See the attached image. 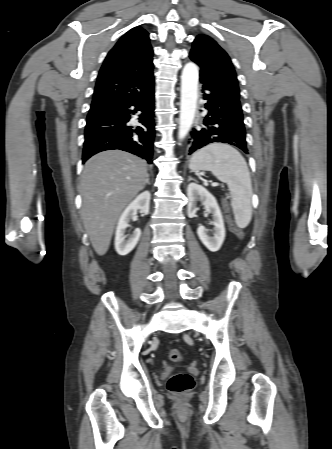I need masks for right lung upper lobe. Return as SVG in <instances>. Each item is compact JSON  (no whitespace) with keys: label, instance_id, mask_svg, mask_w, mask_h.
Segmentation results:
<instances>
[{"label":"right lung upper lobe","instance_id":"1","mask_svg":"<svg viewBox=\"0 0 332 449\" xmlns=\"http://www.w3.org/2000/svg\"><path fill=\"white\" fill-rule=\"evenodd\" d=\"M152 55L149 34L141 27L122 36L100 69L90 110L148 94L154 88Z\"/></svg>","mask_w":332,"mask_h":449}]
</instances>
